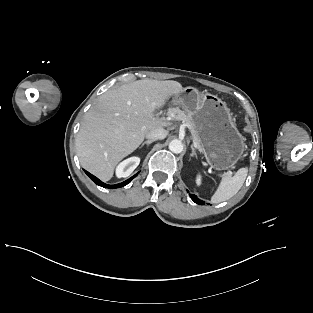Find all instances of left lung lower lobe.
<instances>
[{
	"instance_id": "1",
	"label": "left lung lower lobe",
	"mask_w": 313,
	"mask_h": 313,
	"mask_svg": "<svg viewBox=\"0 0 313 313\" xmlns=\"http://www.w3.org/2000/svg\"><path fill=\"white\" fill-rule=\"evenodd\" d=\"M190 197H191V199H192L195 203H197V204H199V205H204V201L198 199L196 195H191V194H190Z\"/></svg>"
}]
</instances>
